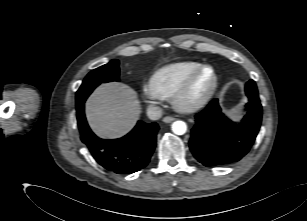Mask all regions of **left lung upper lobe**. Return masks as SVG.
Segmentation results:
<instances>
[{
	"label": "left lung upper lobe",
	"instance_id": "obj_1",
	"mask_svg": "<svg viewBox=\"0 0 307 221\" xmlns=\"http://www.w3.org/2000/svg\"><path fill=\"white\" fill-rule=\"evenodd\" d=\"M248 89H252V90L257 89L256 88V84H255V82L253 80H250V81L247 82L246 90H248Z\"/></svg>",
	"mask_w": 307,
	"mask_h": 221
}]
</instances>
